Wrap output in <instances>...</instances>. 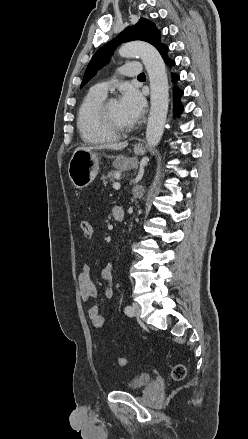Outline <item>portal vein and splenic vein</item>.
I'll use <instances>...</instances> for the list:
<instances>
[{"instance_id":"18ae733b","label":"portal vein and splenic vein","mask_w":248,"mask_h":439,"mask_svg":"<svg viewBox=\"0 0 248 439\" xmlns=\"http://www.w3.org/2000/svg\"><path fill=\"white\" fill-rule=\"evenodd\" d=\"M120 183H118V182H115V183H113V188L115 189V190H119L120 189Z\"/></svg>"}]
</instances>
